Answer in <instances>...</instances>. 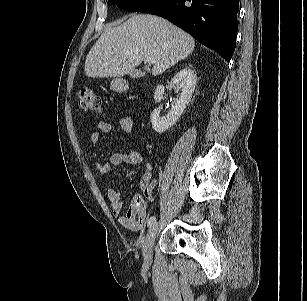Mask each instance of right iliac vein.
I'll list each match as a JSON object with an SVG mask.
<instances>
[{"label":"right iliac vein","mask_w":307,"mask_h":301,"mask_svg":"<svg viewBox=\"0 0 307 301\" xmlns=\"http://www.w3.org/2000/svg\"><path fill=\"white\" fill-rule=\"evenodd\" d=\"M157 232H158V224L155 223L150 227L148 234L145 238L143 245V257L146 265H150L152 263V249L155 238L157 236Z\"/></svg>","instance_id":"1"}]
</instances>
